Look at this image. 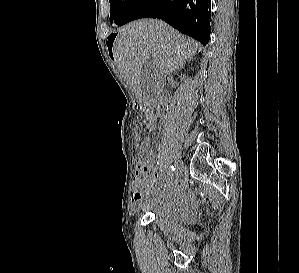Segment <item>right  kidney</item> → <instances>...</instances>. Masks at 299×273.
Here are the masks:
<instances>
[{"mask_svg":"<svg viewBox=\"0 0 299 273\" xmlns=\"http://www.w3.org/2000/svg\"><path fill=\"white\" fill-rule=\"evenodd\" d=\"M185 77V75H181V79H183Z\"/></svg>","mask_w":299,"mask_h":273,"instance_id":"1","label":"right kidney"}]
</instances>
